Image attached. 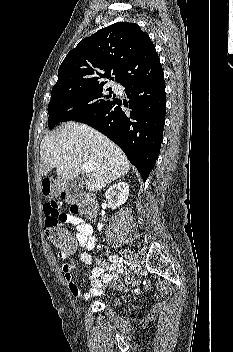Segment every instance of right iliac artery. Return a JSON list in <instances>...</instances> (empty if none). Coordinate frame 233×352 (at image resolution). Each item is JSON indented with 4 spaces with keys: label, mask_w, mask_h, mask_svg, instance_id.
I'll return each mask as SVG.
<instances>
[{
    "label": "right iliac artery",
    "mask_w": 233,
    "mask_h": 352,
    "mask_svg": "<svg viewBox=\"0 0 233 352\" xmlns=\"http://www.w3.org/2000/svg\"><path fill=\"white\" fill-rule=\"evenodd\" d=\"M109 260L111 262L114 263V266L118 263L119 264H122V263H125V264H128V262L126 260H124L122 257L118 256V255H111L109 257Z\"/></svg>",
    "instance_id": "1"
}]
</instances>
